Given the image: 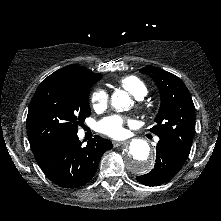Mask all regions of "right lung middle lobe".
Masks as SVG:
<instances>
[{
	"instance_id": "dd1d6c3e",
	"label": "right lung middle lobe",
	"mask_w": 221,
	"mask_h": 221,
	"mask_svg": "<svg viewBox=\"0 0 221 221\" xmlns=\"http://www.w3.org/2000/svg\"><path fill=\"white\" fill-rule=\"evenodd\" d=\"M99 73L85 78L48 76L38 86L29 106L27 134L31 147L78 131L90 116L89 92L101 79Z\"/></svg>"
}]
</instances>
